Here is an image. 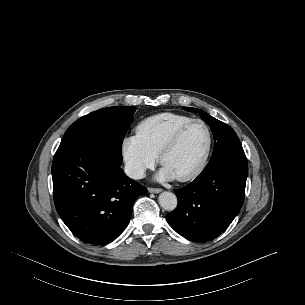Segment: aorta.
<instances>
[{"mask_svg": "<svg viewBox=\"0 0 305 305\" xmlns=\"http://www.w3.org/2000/svg\"><path fill=\"white\" fill-rule=\"evenodd\" d=\"M159 204L166 211H172L177 206V197L172 192H162L159 195Z\"/></svg>", "mask_w": 305, "mask_h": 305, "instance_id": "obj_1", "label": "aorta"}]
</instances>
